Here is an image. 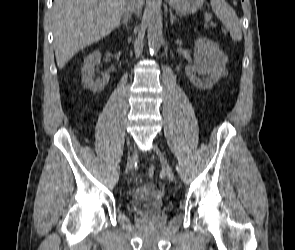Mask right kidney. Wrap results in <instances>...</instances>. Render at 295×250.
<instances>
[{
	"instance_id": "ca27d5eb",
	"label": "right kidney",
	"mask_w": 295,
	"mask_h": 250,
	"mask_svg": "<svg viewBox=\"0 0 295 250\" xmlns=\"http://www.w3.org/2000/svg\"><path fill=\"white\" fill-rule=\"evenodd\" d=\"M100 60L101 53L95 51L85 58L82 68V83L94 93L101 92L108 84L110 78L107 73H102L101 79H94L95 66L99 65Z\"/></svg>"
}]
</instances>
